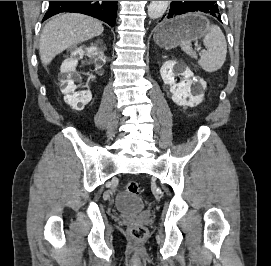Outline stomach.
<instances>
[{
    "instance_id": "1",
    "label": "stomach",
    "mask_w": 271,
    "mask_h": 266,
    "mask_svg": "<svg viewBox=\"0 0 271 266\" xmlns=\"http://www.w3.org/2000/svg\"><path fill=\"white\" fill-rule=\"evenodd\" d=\"M208 25V20L200 14H185L158 25L153 38L158 46L168 50L184 40L190 42L199 39L207 31Z\"/></svg>"
}]
</instances>
